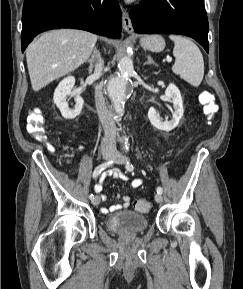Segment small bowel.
I'll return each mask as SVG.
<instances>
[{
	"mask_svg": "<svg viewBox=\"0 0 243 289\" xmlns=\"http://www.w3.org/2000/svg\"><path fill=\"white\" fill-rule=\"evenodd\" d=\"M109 175L115 179H120V180H123V181H127L129 178L118 168H114L112 169L110 172H109ZM143 184V180L140 179V178H135L133 180L130 181V186L132 188H137V187H140L141 185ZM103 186L101 183L99 184H96L95 185V191L96 192H100L102 190ZM107 197L105 195H102V200H106ZM122 200H123V203L122 204H116V205H112L111 207L109 208H102V212L107 214V213H110V212H115V211H118L122 208H126L129 206L130 204V201H131V198L130 196L128 195H124L122 196Z\"/></svg>",
	"mask_w": 243,
	"mask_h": 289,
	"instance_id": "small-bowel-1",
	"label": "small bowel"
}]
</instances>
